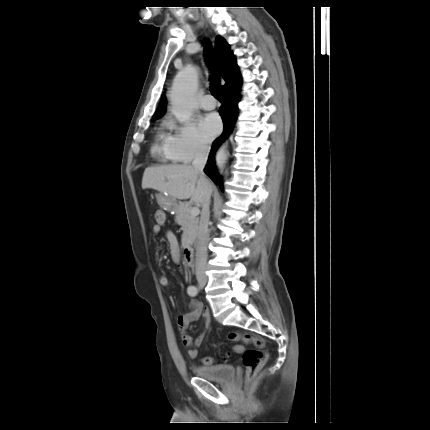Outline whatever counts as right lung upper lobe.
<instances>
[{
  "instance_id": "cb5924a9",
  "label": "right lung upper lobe",
  "mask_w": 430,
  "mask_h": 430,
  "mask_svg": "<svg viewBox=\"0 0 430 430\" xmlns=\"http://www.w3.org/2000/svg\"><path fill=\"white\" fill-rule=\"evenodd\" d=\"M215 53L220 66L222 78L225 80V85L222 86L223 92L241 83V77L236 63L235 56L230 51L229 45L222 37L216 38ZM165 111V97L163 96L157 111L153 118H159Z\"/></svg>"
}]
</instances>
